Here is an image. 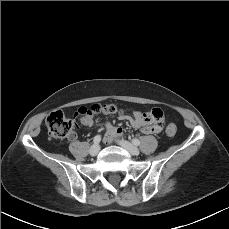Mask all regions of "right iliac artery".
Returning <instances> with one entry per match:
<instances>
[{
    "instance_id": "obj_1",
    "label": "right iliac artery",
    "mask_w": 229,
    "mask_h": 229,
    "mask_svg": "<svg viewBox=\"0 0 229 229\" xmlns=\"http://www.w3.org/2000/svg\"><path fill=\"white\" fill-rule=\"evenodd\" d=\"M101 141V136L100 135H96L93 139L94 144H99Z\"/></svg>"
}]
</instances>
